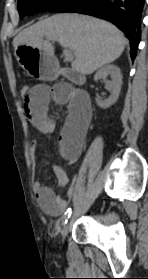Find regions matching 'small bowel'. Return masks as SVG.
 I'll use <instances>...</instances> for the list:
<instances>
[{"label":"small bowel","instance_id":"c3829d8e","mask_svg":"<svg viewBox=\"0 0 148 279\" xmlns=\"http://www.w3.org/2000/svg\"><path fill=\"white\" fill-rule=\"evenodd\" d=\"M51 102L69 107V114L60 133L59 152L62 158L73 164L81 156L92 119L89 98L83 92L63 83L33 86L29 99L24 100V110L35 130L46 136H51L54 131V119L49 113ZM31 149L33 153L36 152V142L32 143ZM54 171L62 182L68 181L62 168L55 167ZM33 190L40 208L48 214L59 215L68 205L67 199L57 196L50 187L40 181H34ZM72 193L73 188L70 187L68 197H71Z\"/></svg>","mask_w":148,"mask_h":279}]
</instances>
